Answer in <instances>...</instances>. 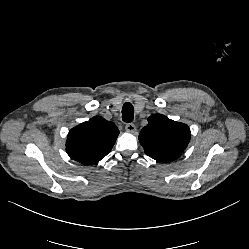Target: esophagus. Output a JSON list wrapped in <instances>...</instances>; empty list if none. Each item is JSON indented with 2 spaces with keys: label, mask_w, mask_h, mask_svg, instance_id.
Segmentation results:
<instances>
[{
  "label": "esophagus",
  "mask_w": 249,
  "mask_h": 249,
  "mask_svg": "<svg viewBox=\"0 0 249 249\" xmlns=\"http://www.w3.org/2000/svg\"><path fill=\"white\" fill-rule=\"evenodd\" d=\"M125 129L127 132L133 133V134L136 133L137 131V128L133 123H127L125 126Z\"/></svg>",
  "instance_id": "esophagus-1"
}]
</instances>
